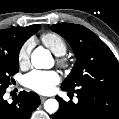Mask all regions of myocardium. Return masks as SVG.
Here are the masks:
<instances>
[{"label":"myocardium","instance_id":"f54148a6","mask_svg":"<svg viewBox=\"0 0 119 119\" xmlns=\"http://www.w3.org/2000/svg\"><path fill=\"white\" fill-rule=\"evenodd\" d=\"M57 64L59 66H62V67H67L68 62H67V59L66 58L60 57V58L57 59Z\"/></svg>","mask_w":119,"mask_h":119}]
</instances>
